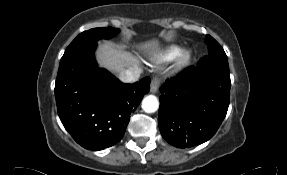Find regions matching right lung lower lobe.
Here are the masks:
<instances>
[{
	"label": "right lung lower lobe",
	"instance_id": "right-lung-lower-lobe-1",
	"mask_svg": "<svg viewBox=\"0 0 287 175\" xmlns=\"http://www.w3.org/2000/svg\"><path fill=\"white\" fill-rule=\"evenodd\" d=\"M96 43L62 57L55 83L59 118L65 129L82 147L102 150L120 141L143 96L150 78L124 84L98 68Z\"/></svg>",
	"mask_w": 287,
	"mask_h": 175
}]
</instances>
